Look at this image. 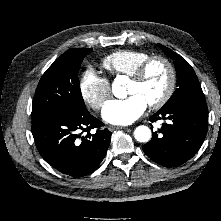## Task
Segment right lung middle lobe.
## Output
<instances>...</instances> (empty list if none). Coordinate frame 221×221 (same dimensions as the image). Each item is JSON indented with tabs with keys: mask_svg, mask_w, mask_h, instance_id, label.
<instances>
[{
	"mask_svg": "<svg viewBox=\"0 0 221 221\" xmlns=\"http://www.w3.org/2000/svg\"><path fill=\"white\" fill-rule=\"evenodd\" d=\"M89 48L68 50L46 70L37 86L32 118L58 113L65 110H86L79 87L78 72Z\"/></svg>",
	"mask_w": 221,
	"mask_h": 221,
	"instance_id": "obj_1",
	"label": "right lung middle lobe"
}]
</instances>
